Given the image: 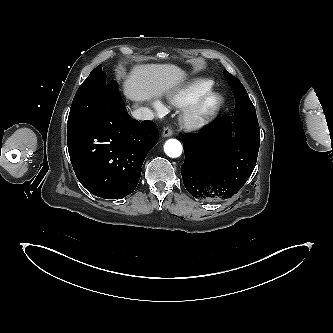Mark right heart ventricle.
Listing matches in <instances>:
<instances>
[{
	"instance_id": "1",
	"label": "right heart ventricle",
	"mask_w": 333,
	"mask_h": 333,
	"mask_svg": "<svg viewBox=\"0 0 333 333\" xmlns=\"http://www.w3.org/2000/svg\"><path fill=\"white\" fill-rule=\"evenodd\" d=\"M213 85V81L208 79H194L177 89L170 96V102L179 108L187 107L201 95L210 91Z\"/></svg>"
}]
</instances>
